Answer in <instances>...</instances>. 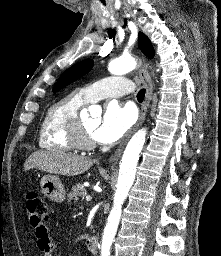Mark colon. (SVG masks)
I'll use <instances>...</instances> for the list:
<instances>
[{
  "instance_id": "5ec220e1",
  "label": "colon",
  "mask_w": 221,
  "mask_h": 256,
  "mask_svg": "<svg viewBox=\"0 0 221 256\" xmlns=\"http://www.w3.org/2000/svg\"><path fill=\"white\" fill-rule=\"evenodd\" d=\"M26 209L30 224L35 230L46 228L45 223L48 218V206L43 198L35 191L26 194Z\"/></svg>"
}]
</instances>
